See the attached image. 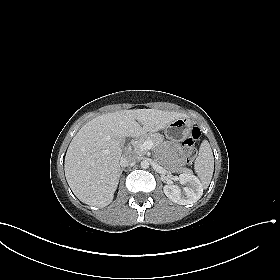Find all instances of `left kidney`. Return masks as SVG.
I'll return each instance as SVG.
<instances>
[{
  "label": "left kidney",
  "instance_id": "left-kidney-1",
  "mask_svg": "<svg viewBox=\"0 0 280 280\" xmlns=\"http://www.w3.org/2000/svg\"><path fill=\"white\" fill-rule=\"evenodd\" d=\"M179 181L182 185L183 192L180 187L174 184H167L163 190L165 195L173 202L180 205H189L197 202L203 194V186L200 180L191 173H183L179 175Z\"/></svg>",
  "mask_w": 280,
  "mask_h": 280
}]
</instances>
